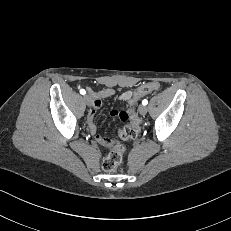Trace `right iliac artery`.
I'll return each instance as SVG.
<instances>
[{"instance_id":"obj_1","label":"right iliac artery","mask_w":231,"mask_h":231,"mask_svg":"<svg viewBox=\"0 0 231 231\" xmlns=\"http://www.w3.org/2000/svg\"><path fill=\"white\" fill-rule=\"evenodd\" d=\"M80 93H81L82 95H84V94L86 93V91H85L84 89H81V90H80Z\"/></svg>"}]
</instances>
